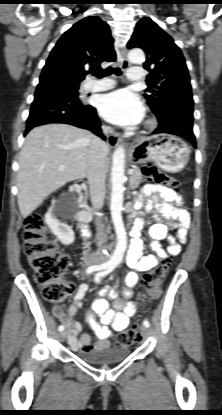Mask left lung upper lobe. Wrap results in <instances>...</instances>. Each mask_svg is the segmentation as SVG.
<instances>
[{"mask_svg": "<svg viewBox=\"0 0 222 415\" xmlns=\"http://www.w3.org/2000/svg\"><path fill=\"white\" fill-rule=\"evenodd\" d=\"M127 46L142 48L147 54L144 68L149 74L144 96L153 113L158 119L166 114L181 115L179 94L191 92V84L185 59L173 39L152 19L144 17Z\"/></svg>", "mask_w": 222, "mask_h": 415, "instance_id": "5c2ea615", "label": "left lung upper lobe"}]
</instances>
